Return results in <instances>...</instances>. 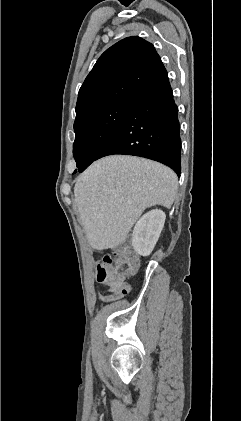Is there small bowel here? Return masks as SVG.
<instances>
[{
	"label": "small bowel",
	"instance_id": "small-bowel-1",
	"mask_svg": "<svg viewBox=\"0 0 241 421\" xmlns=\"http://www.w3.org/2000/svg\"><path fill=\"white\" fill-rule=\"evenodd\" d=\"M108 288V293L106 295L97 294L98 299L103 302H112L121 299L129 290V286L126 287V290L122 288L113 287L108 283H105Z\"/></svg>",
	"mask_w": 241,
	"mask_h": 421
}]
</instances>
